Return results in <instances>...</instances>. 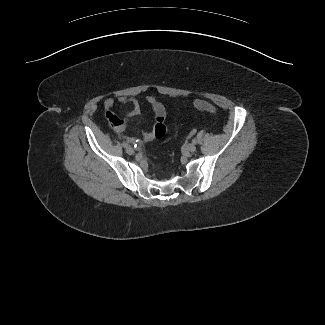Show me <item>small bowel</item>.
Returning a JSON list of instances; mask_svg holds the SVG:
<instances>
[{
  "instance_id": "obj_1",
  "label": "small bowel",
  "mask_w": 325,
  "mask_h": 325,
  "mask_svg": "<svg viewBox=\"0 0 325 325\" xmlns=\"http://www.w3.org/2000/svg\"><path fill=\"white\" fill-rule=\"evenodd\" d=\"M117 103L128 105L130 115H139L141 112L140 102L132 97L119 96L116 100L113 98H107L104 101V106L106 108V117L109 120L112 127L119 133H124L125 122L123 119L117 117L111 110L116 106ZM145 103L149 106L154 120L150 130L143 134V139L145 141H150L153 138H160L165 134V121L167 118V108L160 102H158L153 97H147ZM129 140H133L130 138Z\"/></svg>"
}]
</instances>
